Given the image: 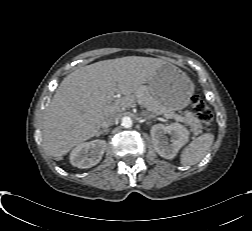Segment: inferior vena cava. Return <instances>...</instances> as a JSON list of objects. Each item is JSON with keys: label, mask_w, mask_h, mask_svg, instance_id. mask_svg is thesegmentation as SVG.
I'll list each match as a JSON object with an SVG mask.
<instances>
[{"label": "inferior vena cava", "mask_w": 252, "mask_h": 231, "mask_svg": "<svg viewBox=\"0 0 252 231\" xmlns=\"http://www.w3.org/2000/svg\"><path fill=\"white\" fill-rule=\"evenodd\" d=\"M118 119L119 117L117 114H111L102 122V127L108 128L109 126L114 125L118 121Z\"/></svg>", "instance_id": "inferior-vena-cava-1"}]
</instances>
